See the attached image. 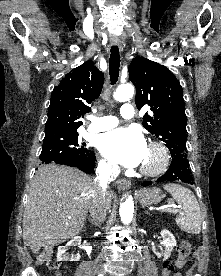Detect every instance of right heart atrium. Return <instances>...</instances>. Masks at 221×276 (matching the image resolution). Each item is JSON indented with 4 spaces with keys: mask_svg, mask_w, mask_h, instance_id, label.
I'll list each match as a JSON object with an SVG mask.
<instances>
[{
    "mask_svg": "<svg viewBox=\"0 0 221 276\" xmlns=\"http://www.w3.org/2000/svg\"><path fill=\"white\" fill-rule=\"evenodd\" d=\"M99 166L101 170H103L106 173L112 174L116 172V167L107 161L101 160L99 162Z\"/></svg>",
    "mask_w": 221,
    "mask_h": 276,
    "instance_id": "d8ad5b80",
    "label": "right heart atrium"
}]
</instances>
